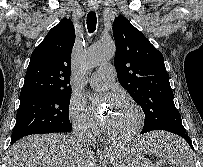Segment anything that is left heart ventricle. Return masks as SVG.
<instances>
[{"label": "left heart ventricle", "mask_w": 203, "mask_h": 167, "mask_svg": "<svg viewBox=\"0 0 203 167\" xmlns=\"http://www.w3.org/2000/svg\"><path fill=\"white\" fill-rule=\"evenodd\" d=\"M135 124L136 115L124 104L103 117L104 127L115 134H125L132 130Z\"/></svg>", "instance_id": "obj_1"}]
</instances>
